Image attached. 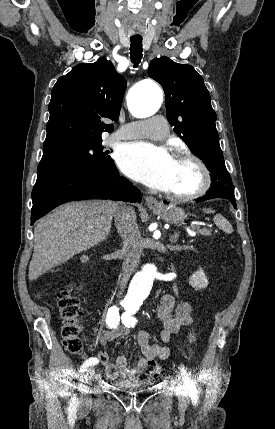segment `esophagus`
Wrapping results in <instances>:
<instances>
[{
  "mask_svg": "<svg viewBox=\"0 0 275 429\" xmlns=\"http://www.w3.org/2000/svg\"><path fill=\"white\" fill-rule=\"evenodd\" d=\"M145 201L146 204L151 208H158L161 206L158 200L153 196H146Z\"/></svg>",
  "mask_w": 275,
  "mask_h": 429,
  "instance_id": "esophagus-1",
  "label": "esophagus"
}]
</instances>
